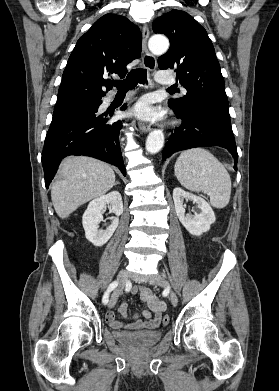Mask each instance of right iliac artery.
I'll use <instances>...</instances> for the list:
<instances>
[{"instance_id":"1","label":"right iliac artery","mask_w":279,"mask_h":391,"mask_svg":"<svg viewBox=\"0 0 279 391\" xmlns=\"http://www.w3.org/2000/svg\"><path fill=\"white\" fill-rule=\"evenodd\" d=\"M117 285H118V283H117L116 281L112 282V283L109 285L107 291L105 292V294H104V296H103V298H102V302H103L104 304H107V303H108V301H109V293H110L112 290H114V289L117 287Z\"/></svg>"}]
</instances>
